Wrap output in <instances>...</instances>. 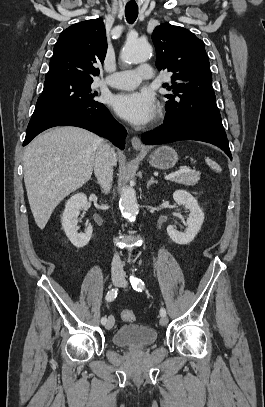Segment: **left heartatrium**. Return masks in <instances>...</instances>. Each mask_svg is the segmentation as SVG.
<instances>
[{
	"label": "left heart atrium",
	"instance_id": "obj_1",
	"mask_svg": "<svg viewBox=\"0 0 265 407\" xmlns=\"http://www.w3.org/2000/svg\"><path fill=\"white\" fill-rule=\"evenodd\" d=\"M111 106L119 116L134 125H144L156 114L155 99L146 91L115 94Z\"/></svg>",
	"mask_w": 265,
	"mask_h": 407
}]
</instances>
